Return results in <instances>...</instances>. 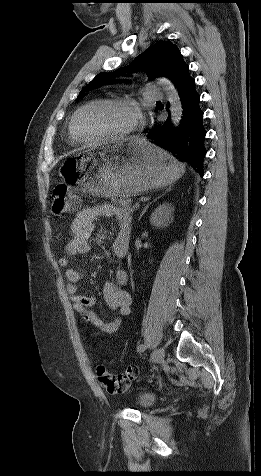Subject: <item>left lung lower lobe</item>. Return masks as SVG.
Listing matches in <instances>:
<instances>
[{
	"instance_id": "1",
	"label": "left lung lower lobe",
	"mask_w": 261,
	"mask_h": 476,
	"mask_svg": "<svg viewBox=\"0 0 261 476\" xmlns=\"http://www.w3.org/2000/svg\"><path fill=\"white\" fill-rule=\"evenodd\" d=\"M176 90L183 107L179 127H173L170 116L148 134L150 142L172 153L181 162H187L203 176V160L206 155L203 126V111L199 107L200 95L195 89V80L190 76L189 67L179 75L175 82ZM168 109V104L166 106Z\"/></svg>"
}]
</instances>
